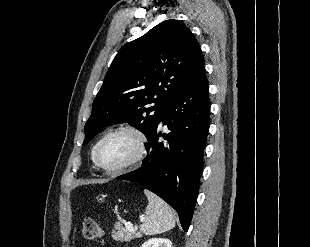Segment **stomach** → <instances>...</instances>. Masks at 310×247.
Segmentation results:
<instances>
[{
  "label": "stomach",
  "mask_w": 310,
  "mask_h": 247,
  "mask_svg": "<svg viewBox=\"0 0 310 247\" xmlns=\"http://www.w3.org/2000/svg\"><path fill=\"white\" fill-rule=\"evenodd\" d=\"M104 197H105V196H102V198H100L99 200H100V201H103Z\"/></svg>",
  "instance_id": "1"
}]
</instances>
